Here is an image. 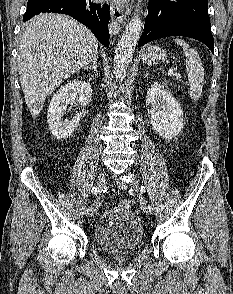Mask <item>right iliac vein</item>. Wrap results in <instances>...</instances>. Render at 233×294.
<instances>
[{
	"label": "right iliac vein",
	"instance_id": "right-iliac-vein-1",
	"mask_svg": "<svg viewBox=\"0 0 233 294\" xmlns=\"http://www.w3.org/2000/svg\"><path fill=\"white\" fill-rule=\"evenodd\" d=\"M105 178L106 174L105 172H101L97 178V187L99 190H101L105 186ZM97 211V206L94 204L91 208L89 216H93Z\"/></svg>",
	"mask_w": 233,
	"mask_h": 294
}]
</instances>
